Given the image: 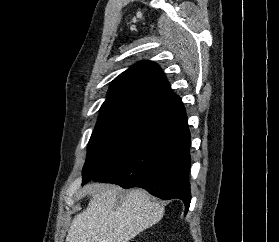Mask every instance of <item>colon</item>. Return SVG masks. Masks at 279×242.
Here are the masks:
<instances>
[{
  "label": "colon",
  "mask_w": 279,
  "mask_h": 242,
  "mask_svg": "<svg viewBox=\"0 0 279 242\" xmlns=\"http://www.w3.org/2000/svg\"><path fill=\"white\" fill-rule=\"evenodd\" d=\"M129 242H136V241L131 240V241H129Z\"/></svg>",
  "instance_id": "colon-1"
}]
</instances>
